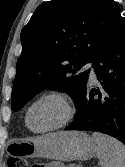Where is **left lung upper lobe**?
Here are the masks:
<instances>
[{
	"label": "left lung upper lobe",
	"mask_w": 125,
	"mask_h": 167,
	"mask_svg": "<svg viewBox=\"0 0 125 167\" xmlns=\"http://www.w3.org/2000/svg\"><path fill=\"white\" fill-rule=\"evenodd\" d=\"M114 0H51L40 5L21 32L22 53L11 108L20 110L46 88L66 89L76 103L92 62L120 15Z\"/></svg>",
	"instance_id": "1"
}]
</instances>
